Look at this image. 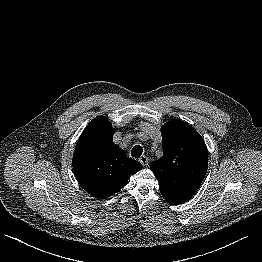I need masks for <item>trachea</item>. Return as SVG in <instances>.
<instances>
[{
    "label": "trachea",
    "mask_w": 262,
    "mask_h": 262,
    "mask_svg": "<svg viewBox=\"0 0 262 262\" xmlns=\"http://www.w3.org/2000/svg\"><path fill=\"white\" fill-rule=\"evenodd\" d=\"M143 149L140 145H136L133 147L132 151H131V156L132 157H140L142 155Z\"/></svg>",
    "instance_id": "obj_1"
}]
</instances>
